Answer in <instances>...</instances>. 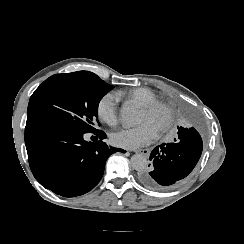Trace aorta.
Returning a JSON list of instances; mask_svg holds the SVG:
<instances>
[{
  "label": "aorta",
  "instance_id": "obj_1",
  "mask_svg": "<svg viewBox=\"0 0 244 244\" xmlns=\"http://www.w3.org/2000/svg\"><path fill=\"white\" fill-rule=\"evenodd\" d=\"M120 117L123 124L133 126L138 121V112L131 103L123 104L120 110ZM131 166L137 171H142L146 168L148 161L143 154H134L130 160Z\"/></svg>",
  "mask_w": 244,
  "mask_h": 244
}]
</instances>
